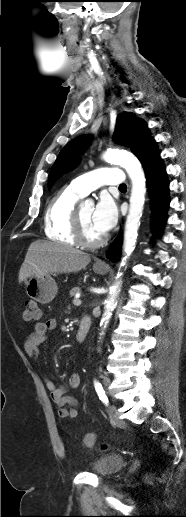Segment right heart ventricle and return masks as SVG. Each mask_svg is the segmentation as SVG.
Returning <instances> with one entry per match:
<instances>
[{
  "instance_id": "right-heart-ventricle-1",
  "label": "right heart ventricle",
  "mask_w": 186,
  "mask_h": 517,
  "mask_svg": "<svg viewBox=\"0 0 186 517\" xmlns=\"http://www.w3.org/2000/svg\"><path fill=\"white\" fill-rule=\"evenodd\" d=\"M81 197L71 186H65L50 200L44 215V231L49 239L70 246L77 245L74 213L75 204Z\"/></svg>"
}]
</instances>
